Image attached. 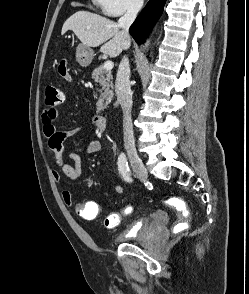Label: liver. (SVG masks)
Instances as JSON below:
<instances>
[{"label":"liver","instance_id":"1","mask_svg":"<svg viewBox=\"0 0 249 294\" xmlns=\"http://www.w3.org/2000/svg\"><path fill=\"white\" fill-rule=\"evenodd\" d=\"M72 30L81 43L88 47L102 45L100 51L110 57L118 56L125 46L126 37L117 23L89 11H78L70 16L61 34Z\"/></svg>","mask_w":249,"mask_h":294}]
</instances>
